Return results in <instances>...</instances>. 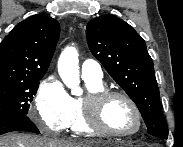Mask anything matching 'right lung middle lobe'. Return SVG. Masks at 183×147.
<instances>
[{
	"instance_id": "obj_1",
	"label": "right lung middle lobe",
	"mask_w": 183,
	"mask_h": 147,
	"mask_svg": "<svg viewBox=\"0 0 183 147\" xmlns=\"http://www.w3.org/2000/svg\"><path fill=\"white\" fill-rule=\"evenodd\" d=\"M41 79L0 83V118L27 115Z\"/></svg>"
}]
</instances>
